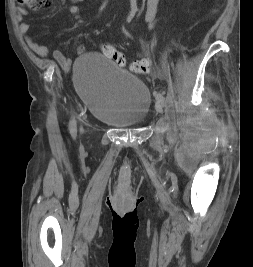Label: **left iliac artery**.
<instances>
[{"mask_svg":"<svg viewBox=\"0 0 253 267\" xmlns=\"http://www.w3.org/2000/svg\"><path fill=\"white\" fill-rule=\"evenodd\" d=\"M156 100H157V102H160V103H164L165 102L164 96L162 94H160V93H158L156 95Z\"/></svg>","mask_w":253,"mask_h":267,"instance_id":"left-iliac-artery-1","label":"left iliac artery"}]
</instances>
